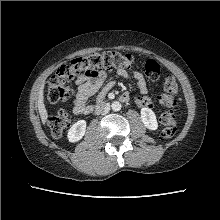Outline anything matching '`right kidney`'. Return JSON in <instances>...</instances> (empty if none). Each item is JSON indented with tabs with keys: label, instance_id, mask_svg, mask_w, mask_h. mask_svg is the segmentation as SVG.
I'll use <instances>...</instances> for the list:
<instances>
[{
	"label": "right kidney",
	"instance_id": "obj_1",
	"mask_svg": "<svg viewBox=\"0 0 220 220\" xmlns=\"http://www.w3.org/2000/svg\"><path fill=\"white\" fill-rule=\"evenodd\" d=\"M86 131V121L79 120L69 129L67 138L69 142H77L82 139Z\"/></svg>",
	"mask_w": 220,
	"mask_h": 220
}]
</instances>
